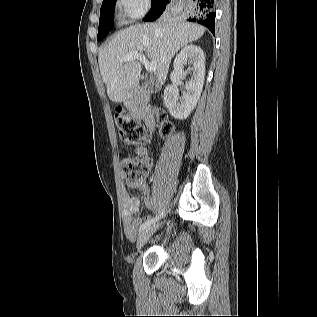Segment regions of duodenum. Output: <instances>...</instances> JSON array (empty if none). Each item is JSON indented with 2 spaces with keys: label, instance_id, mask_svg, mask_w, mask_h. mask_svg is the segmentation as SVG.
Returning <instances> with one entry per match:
<instances>
[{
  "label": "duodenum",
  "instance_id": "1",
  "mask_svg": "<svg viewBox=\"0 0 317 317\" xmlns=\"http://www.w3.org/2000/svg\"><path fill=\"white\" fill-rule=\"evenodd\" d=\"M127 106L128 115H139L142 119L147 122L150 128L154 127V118L151 114L150 108H148L149 103L145 100H127L125 102Z\"/></svg>",
  "mask_w": 317,
  "mask_h": 317
}]
</instances>
